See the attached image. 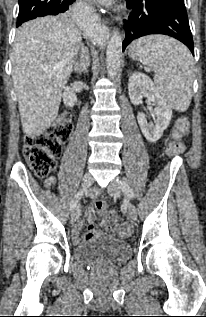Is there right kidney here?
Here are the masks:
<instances>
[{"mask_svg":"<svg viewBox=\"0 0 206 317\" xmlns=\"http://www.w3.org/2000/svg\"><path fill=\"white\" fill-rule=\"evenodd\" d=\"M64 104L68 107H73L77 102V96L70 87H65L63 92Z\"/></svg>","mask_w":206,"mask_h":317,"instance_id":"ca27d5eb","label":"right kidney"}]
</instances>
